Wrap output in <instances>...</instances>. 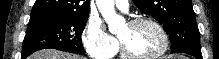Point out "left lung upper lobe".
<instances>
[{"mask_svg":"<svg viewBox=\"0 0 219 59\" xmlns=\"http://www.w3.org/2000/svg\"><path fill=\"white\" fill-rule=\"evenodd\" d=\"M144 13L164 24L171 41V52L200 47V32L191 0H133Z\"/></svg>","mask_w":219,"mask_h":59,"instance_id":"5c2ea615","label":"left lung upper lobe"}]
</instances>
